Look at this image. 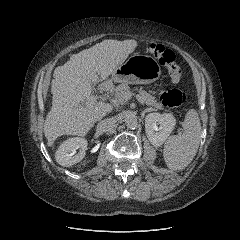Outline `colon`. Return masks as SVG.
<instances>
[{"instance_id": "5ec220e1", "label": "colon", "mask_w": 240, "mask_h": 240, "mask_svg": "<svg viewBox=\"0 0 240 240\" xmlns=\"http://www.w3.org/2000/svg\"><path fill=\"white\" fill-rule=\"evenodd\" d=\"M146 50L154 55L161 65L167 68L172 84L176 85L181 78V69L175 62L174 52L166 49L163 45L154 43L146 45ZM160 100L167 107H179L185 102L186 95L177 88H171L160 94Z\"/></svg>"}]
</instances>
